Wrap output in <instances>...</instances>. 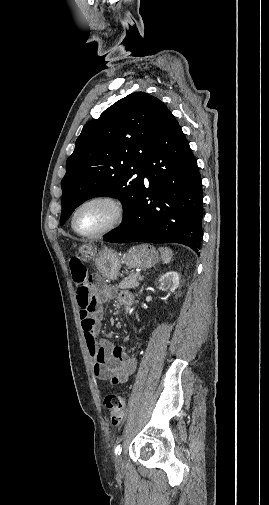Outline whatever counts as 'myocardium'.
Returning a JSON list of instances; mask_svg holds the SVG:
<instances>
[{"label": "myocardium", "mask_w": 269, "mask_h": 505, "mask_svg": "<svg viewBox=\"0 0 269 505\" xmlns=\"http://www.w3.org/2000/svg\"><path fill=\"white\" fill-rule=\"evenodd\" d=\"M94 202H106V203L110 204L115 210L114 218L107 226H105L104 228H102L101 230H99L97 232H94V233L80 232L76 228V225H75L76 216H77L78 212L84 206H86L90 203H94ZM125 217H126V207L120 198H118L114 195H111V194H98V195L92 196V197L84 200L75 208V210L73 211L72 217H71V228L77 235H79L81 237L96 238V237H100V236L116 229L117 227H119L123 223Z\"/></svg>", "instance_id": "f54148a6"}]
</instances>
